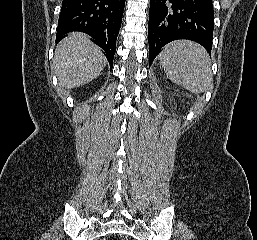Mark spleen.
I'll use <instances>...</instances> for the list:
<instances>
[{
  "label": "spleen",
  "instance_id": "3e777b00",
  "mask_svg": "<svg viewBox=\"0 0 257 240\" xmlns=\"http://www.w3.org/2000/svg\"><path fill=\"white\" fill-rule=\"evenodd\" d=\"M159 63L173 83L192 93H203L212 86L208 54L197 43L179 40L166 45L159 55Z\"/></svg>",
  "mask_w": 257,
  "mask_h": 240
}]
</instances>
